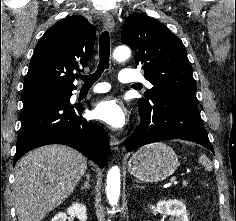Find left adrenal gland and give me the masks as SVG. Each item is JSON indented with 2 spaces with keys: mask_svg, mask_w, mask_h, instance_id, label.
<instances>
[{
  "mask_svg": "<svg viewBox=\"0 0 236 221\" xmlns=\"http://www.w3.org/2000/svg\"><path fill=\"white\" fill-rule=\"evenodd\" d=\"M136 188L144 189L145 187H144V186H140V185L136 184Z\"/></svg>",
  "mask_w": 236,
  "mask_h": 221,
  "instance_id": "a2214340",
  "label": "left adrenal gland"
}]
</instances>
